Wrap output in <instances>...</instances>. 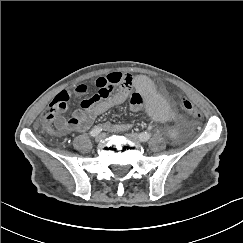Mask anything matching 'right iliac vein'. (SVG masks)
Returning <instances> with one entry per match:
<instances>
[{
	"label": "right iliac vein",
	"instance_id": "obj_1",
	"mask_svg": "<svg viewBox=\"0 0 243 243\" xmlns=\"http://www.w3.org/2000/svg\"><path fill=\"white\" fill-rule=\"evenodd\" d=\"M105 138V134L104 133H100L95 137V141L96 142H100Z\"/></svg>",
	"mask_w": 243,
	"mask_h": 243
}]
</instances>
